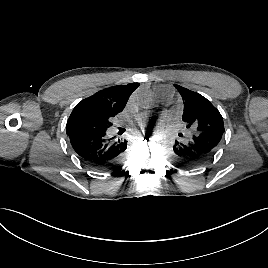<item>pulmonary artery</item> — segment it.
Wrapping results in <instances>:
<instances>
[{"label": "pulmonary artery", "instance_id": "pulmonary-artery-1", "mask_svg": "<svg viewBox=\"0 0 268 268\" xmlns=\"http://www.w3.org/2000/svg\"><path fill=\"white\" fill-rule=\"evenodd\" d=\"M172 98V94L171 93H163L161 95V99L165 102H169Z\"/></svg>", "mask_w": 268, "mask_h": 268}]
</instances>
